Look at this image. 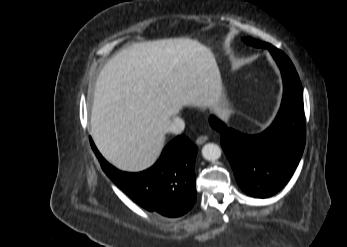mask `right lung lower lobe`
<instances>
[{
  "label": "right lung lower lobe",
  "instance_id": "98d812e1",
  "mask_svg": "<svg viewBox=\"0 0 347 247\" xmlns=\"http://www.w3.org/2000/svg\"><path fill=\"white\" fill-rule=\"evenodd\" d=\"M106 175L137 204L151 212L178 217L196 201L195 158L197 147L184 135L163 150L151 168L140 173L122 172L110 165L91 140Z\"/></svg>",
  "mask_w": 347,
  "mask_h": 247
}]
</instances>
